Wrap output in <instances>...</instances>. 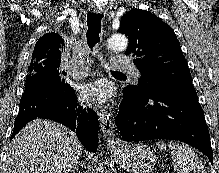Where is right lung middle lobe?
Masks as SVG:
<instances>
[{
  "label": "right lung middle lobe",
  "mask_w": 219,
  "mask_h": 173,
  "mask_svg": "<svg viewBox=\"0 0 219 173\" xmlns=\"http://www.w3.org/2000/svg\"><path fill=\"white\" fill-rule=\"evenodd\" d=\"M38 76H52L54 77L66 90L72 89L64 76L66 73L60 69V64L43 62L37 65L30 64L28 67V75L26 76V83Z\"/></svg>",
  "instance_id": "right-lung-middle-lobe-1"
}]
</instances>
